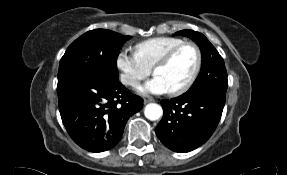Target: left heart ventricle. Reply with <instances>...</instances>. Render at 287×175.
<instances>
[{
    "mask_svg": "<svg viewBox=\"0 0 287 175\" xmlns=\"http://www.w3.org/2000/svg\"><path fill=\"white\" fill-rule=\"evenodd\" d=\"M197 62V54L193 47L182 48L173 59L166 65L155 71L168 86L169 91L175 90L184 85L191 77Z\"/></svg>",
    "mask_w": 287,
    "mask_h": 175,
    "instance_id": "obj_1",
    "label": "left heart ventricle"
}]
</instances>
